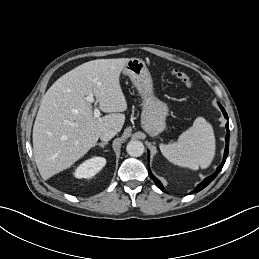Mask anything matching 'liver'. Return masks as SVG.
Listing matches in <instances>:
<instances>
[{"label": "liver", "instance_id": "obj_1", "mask_svg": "<svg viewBox=\"0 0 259 259\" xmlns=\"http://www.w3.org/2000/svg\"><path fill=\"white\" fill-rule=\"evenodd\" d=\"M128 58L86 62L60 77L43 96L33 126V154L44 180L71 167L105 130L120 132L127 102L120 74ZM93 94L99 109L110 113L95 118L85 97ZM75 123L76 125H71Z\"/></svg>", "mask_w": 259, "mask_h": 259}]
</instances>
